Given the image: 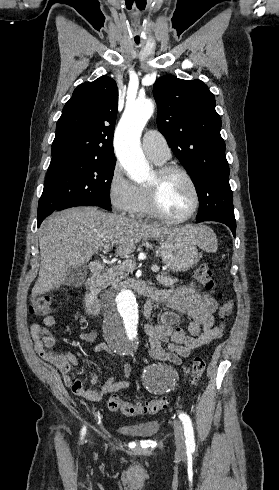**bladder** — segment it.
Returning a JSON list of instances; mask_svg holds the SVG:
<instances>
[{"instance_id": "bladder-1", "label": "bladder", "mask_w": 279, "mask_h": 490, "mask_svg": "<svg viewBox=\"0 0 279 490\" xmlns=\"http://www.w3.org/2000/svg\"><path fill=\"white\" fill-rule=\"evenodd\" d=\"M119 430L122 431L128 437H152L159 430V421H140L133 422L130 424H125L119 427Z\"/></svg>"}]
</instances>
